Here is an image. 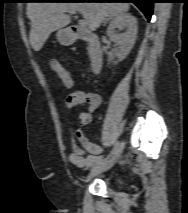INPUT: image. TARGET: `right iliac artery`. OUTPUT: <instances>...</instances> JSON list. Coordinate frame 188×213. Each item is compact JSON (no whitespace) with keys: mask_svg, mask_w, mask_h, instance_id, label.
I'll return each mask as SVG.
<instances>
[{"mask_svg":"<svg viewBox=\"0 0 188 213\" xmlns=\"http://www.w3.org/2000/svg\"><path fill=\"white\" fill-rule=\"evenodd\" d=\"M118 145H119V142H116L115 145H114V147H113V149H112V151L110 152V154L105 159H101V160L97 161L95 163V165L93 166L92 170L95 169V168H97L101 164L105 163L114 154V152L116 151Z\"/></svg>","mask_w":188,"mask_h":213,"instance_id":"82829eb1","label":"right iliac artery"}]
</instances>
